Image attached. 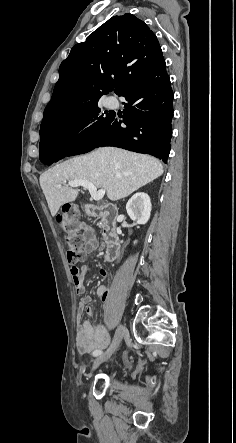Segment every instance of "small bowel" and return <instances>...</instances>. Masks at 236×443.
I'll list each match as a JSON object with an SVG mask.
<instances>
[{
    "instance_id": "small-bowel-1",
    "label": "small bowel",
    "mask_w": 236,
    "mask_h": 443,
    "mask_svg": "<svg viewBox=\"0 0 236 443\" xmlns=\"http://www.w3.org/2000/svg\"><path fill=\"white\" fill-rule=\"evenodd\" d=\"M83 249L86 253H93L100 247L94 230L85 226L82 232ZM90 268L88 266L83 267L81 271L77 267H71L70 272L74 282V288L77 294L84 295L86 292V287L83 282V273L89 272ZM108 269L103 267L99 270L101 277L108 276ZM109 291L108 285H101L97 288V295L106 298ZM92 302V298L89 296H83L79 303V312L81 315L86 313L87 315H93L94 310L92 307L87 306ZM109 344V336L105 327L93 320L79 321L77 333H76V347L80 353L94 352L96 350L104 349Z\"/></svg>"
}]
</instances>
